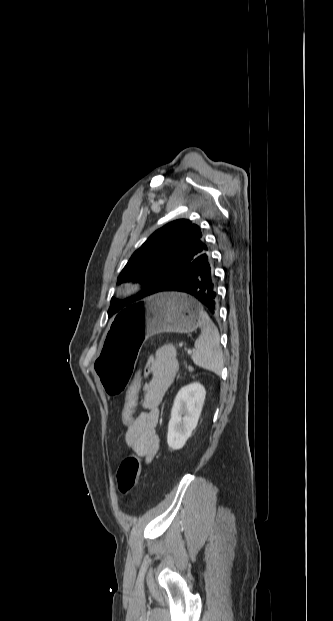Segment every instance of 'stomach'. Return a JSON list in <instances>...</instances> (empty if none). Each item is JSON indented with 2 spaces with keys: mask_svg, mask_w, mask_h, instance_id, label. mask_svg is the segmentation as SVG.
I'll list each match as a JSON object with an SVG mask.
<instances>
[{
  "mask_svg": "<svg viewBox=\"0 0 333 621\" xmlns=\"http://www.w3.org/2000/svg\"><path fill=\"white\" fill-rule=\"evenodd\" d=\"M205 312L186 294L160 293L137 303L113 318L106 333L96 372L106 398L121 400L135 373L144 339L160 332L189 333L200 325Z\"/></svg>",
  "mask_w": 333,
  "mask_h": 621,
  "instance_id": "obj_1",
  "label": "stomach"
}]
</instances>
